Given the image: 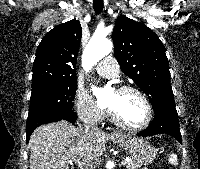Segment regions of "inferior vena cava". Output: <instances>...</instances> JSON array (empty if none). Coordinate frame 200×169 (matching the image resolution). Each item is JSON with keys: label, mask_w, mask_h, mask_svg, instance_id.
<instances>
[{"label": "inferior vena cava", "mask_w": 200, "mask_h": 169, "mask_svg": "<svg viewBox=\"0 0 200 169\" xmlns=\"http://www.w3.org/2000/svg\"><path fill=\"white\" fill-rule=\"evenodd\" d=\"M85 129L86 130H89V129H91V130H98L97 126H88V125H85Z\"/></svg>", "instance_id": "inferior-vena-cava-1"}]
</instances>
